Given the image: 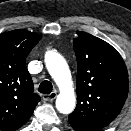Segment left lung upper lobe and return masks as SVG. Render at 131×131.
Returning <instances> with one entry per match:
<instances>
[{
  "instance_id": "obj_1",
  "label": "left lung upper lobe",
  "mask_w": 131,
  "mask_h": 131,
  "mask_svg": "<svg viewBox=\"0 0 131 131\" xmlns=\"http://www.w3.org/2000/svg\"><path fill=\"white\" fill-rule=\"evenodd\" d=\"M77 106L69 123L82 131H99L121 111L128 95V72L120 54L107 42L77 31Z\"/></svg>"
}]
</instances>
